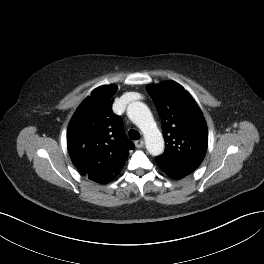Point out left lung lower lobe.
<instances>
[{"mask_svg":"<svg viewBox=\"0 0 264 264\" xmlns=\"http://www.w3.org/2000/svg\"><path fill=\"white\" fill-rule=\"evenodd\" d=\"M159 167L162 169V171L167 174L170 178L172 179H181L187 175H189L190 173H192L193 171L187 170V169H181V168H173V167H169L167 165H163L159 162H157Z\"/></svg>","mask_w":264,"mask_h":264,"instance_id":"0a47b994","label":"left lung lower lobe"}]
</instances>
